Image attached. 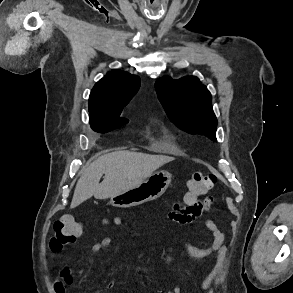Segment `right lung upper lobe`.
Listing matches in <instances>:
<instances>
[{
    "mask_svg": "<svg viewBox=\"0 0 293 293\" xmlns=\"http://www.w3.org/2000/svg\"><path fill=\"white\" fill-rule=\"evenodd\" d=\"M139 86L140 78L136 75L118 69L108 72L91 91L90 118L121 113Z\"/></svg>",
    "mask_w": 293,
    "mask_h": 293,
    "instance_id": "1",
    "label": "right lung upper lobe"
}]
</instances>
